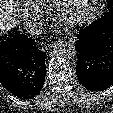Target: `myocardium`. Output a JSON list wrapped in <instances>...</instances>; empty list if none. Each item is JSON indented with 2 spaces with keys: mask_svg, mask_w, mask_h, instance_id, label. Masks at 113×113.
Masks as SVG:
<instances>
[{
  "mask_svg": "<svg viewBox=\"0 0 113 113\" xmlns=\"http://www.w3.org/2000/svg\"><path fill=\"white\" fill-rule=\"evenodd\" d=\"M71 0H56L53 5L55 20L66 27H75L87 21L91 0H83L74 15L68 16L67 9Z\"/></svg>",
  "mask_w": 113,
  "mask_h": 113,
  "instance_id": "myocardium-1",
  "label": "myocardium"
}]
</instances>
